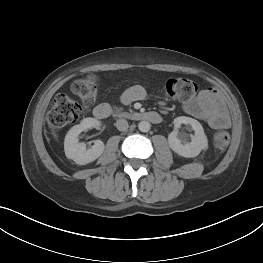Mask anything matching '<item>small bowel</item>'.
I'll return each mask as SVG.
<instances>
[{
    "label": "small bowel",
    "instance_id": "c3829d8e",
    "mask_svg": "<svg viewBox=\"0 0 263 263\" xmlns=\"http://www.w3.org/2000/svg\"><path fill=\"white\" fill-rule=\"evenodd\" d=\"M146 91L140 85H135L124 91L121 97L123 104L141 101ZM185 112L197 119L205 121L214 129L228 128L230 117L220 94L213 88L202 90L195 98L183 106Z\"/></svg>",
    "mask_w": 263,
    "mask_h": 263
}]
</instances>
